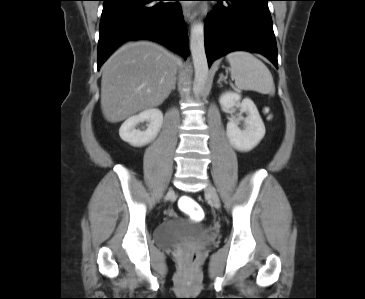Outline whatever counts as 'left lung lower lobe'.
I'll list each match as a JSON object with an SVG mask.
<instances>
[{
	"instance_id": "0a47b994",
	"label": "left lung lower lobe",
	"mask_w": 365,
	"mask_h": 299,
	"mask_svg": "<svg viewBox=\"0 0 365 299\" xmlns=\"http://www.w3.org/2000/svg\"><path fill=\"white\" fill-rule=\"evenodd\" d=\"M216 1L221 2L204 24L208 65L229 52L246 50L261 53L278 68L276 39L268 9L270 0Z\"/></svg>"
}]
</instances>
